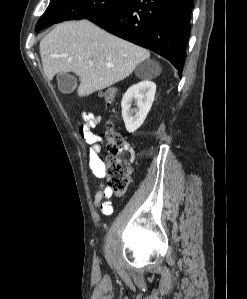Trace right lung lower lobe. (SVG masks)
Listing matches in <instances>:
<instances>
[{
    "mask_svg": "<svg viewBox=\"0 0 247 299\" xmlns=\"http://www.w3.org/2000/svg\"><path fill=\"white\" fill-rule=\"evenodd\" d=\"M193 5V0H127L89 20L120 38L153 50L181 74Z\"/></svg>",
    "mask_w": 247,
    "mask_h": 299,
    "instance_id": "1",
    "label": "right lung lower lobe"
}]
</instances>
